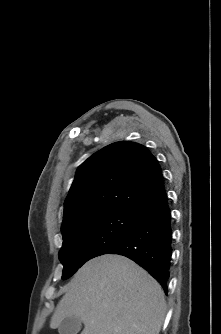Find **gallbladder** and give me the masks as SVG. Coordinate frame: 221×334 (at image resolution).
<instances>
[{
	"label": "gallbladder",
	"instance_id": "obj_1",
	"mask_svg": "<svg viewBox=\"0 0 221 334\" xmlns=\"http://www.w3.org/2000/svg\"><path fill=\"white\" fill-rule=\"evenodd\" d=\"M82 326V321L76 316L66 317L59 325V334H78Z\"/></svg>",
	"mask_w": 221,
	"mask_h": 334
}]
</instances>
